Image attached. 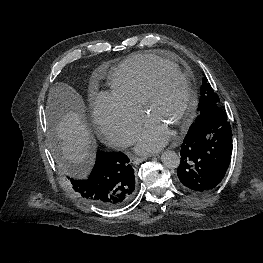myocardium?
<instances>
[{
  "label": "myocardium",
  "instance_id": "obj_1",
  "mask_svg": "<svg viewBox=\"0 0 263 263\" xmlns=\"http://www.w3.org/2000/svg\"><path fill=\"white\" fill-rule=\"evenodd\" d=\"M167 75L175 76L179 78L180 80H182L185 83L186 91H187V101H186L184 111L181 113V115L179 116L178 120L175 123L174 131L175 133H178L179 131L184 129L189 124V122L191 121V119L193 118L195 114L197 104H198L197 94H196V91L193 87V84L190 78L184 73H182L178 68L163 66V67L157 68L154 71V73L151 75L150 80L147 84L141 107L145 115L149 116V111H150L151 104L154 99L159 81L161 80L162 77L167 76Z\"/></svg>",
  "mask_w": 263,
  "mask_h": 263
}]
</instances>
